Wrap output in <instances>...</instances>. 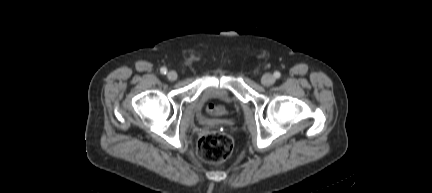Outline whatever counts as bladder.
Segmentation results:
<instances>
[{"label": "bladder", "instance_id": "bladder-1", "mask_svg": "<svg viewBox=\"0 0 432 193\" xmlns=\"http://www.w3.org/2000/svg\"><path fill=\"white\" fill-rule=\"evenodd\" d=\"M214 101L220 102L225 107L226 111L220 117L205 120V123H218L222 121L225 116H227L228 109H234L236 107L232 96L223 88H208L195 100L196 104L200 108H203Z\"/></svg>", "mask_w": 432, "mask_h": 193}]
</instances>
